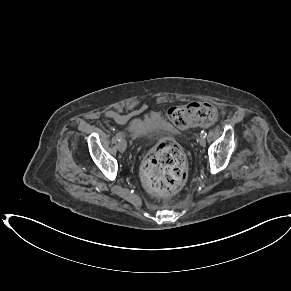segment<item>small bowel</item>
<instances>
[{"mask_svg":"<svg viewBox=\"0 0 291 291\" xmlns=\"http://www.w3.org/2000/svg\"><path fill=\"white\" fill-rule=\"evenodd\" d=\"M105 117L108 118V119L114 120L116 122H124L126 120L125 115L120 114V113H118L116 111H112V110L107 111L105 113Z\"/></svg>","mask_w":291,"mask_h":291,"instance_id":"small-bowel-1","label":"small bowel"}]
</instances>
